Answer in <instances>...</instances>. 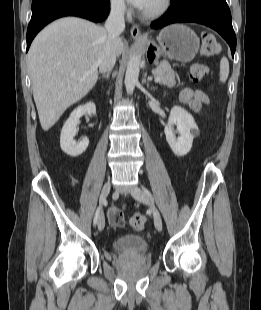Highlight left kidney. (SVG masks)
Returning a JSON list of instances; mask_svg holds the SVG:
<instances>
[{
  "label": "left kidney",
  "instance_id": "5707ae66",
  "mask_svg": "<svg viewBox=\"0 0 261 310\" xmlns=\"http://www.w3.org/2000/svg\"><path fill=\"white\" fill-rule=\"evenodd\" d=\"M174 126L177 127L176 132L179 134L177 138ZM164 133L173 153L182 157L191 150L193 139L198 134V126L190 113L180 106H174L171 109Z\"/></svg>",
  "mask_w": 261,
  "mask_h": 310
}]
</instances>
